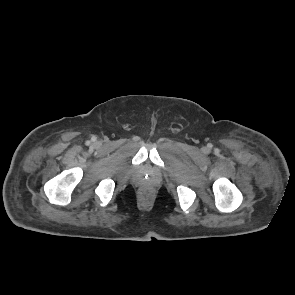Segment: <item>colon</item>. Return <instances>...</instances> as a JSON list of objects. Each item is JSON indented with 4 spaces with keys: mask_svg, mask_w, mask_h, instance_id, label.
Here are the masks:
<instances>
[{
    "mask_svg": "<svg viewBox=\"0 0 295 295\" xmlns=\"http://www.w3.org/2000/svg\"><path fill=\"white\" fill-rule=\"evenodd\" d=\"M149 194V190L148 189H144L143 190V195L147 196Z\"/></svg>",
    "mask_w": 295,
    "mask_h": 295,
    "instance_id": "obj_1",
    "label": "colon"
}]
</instances>
